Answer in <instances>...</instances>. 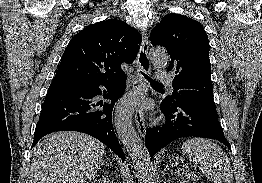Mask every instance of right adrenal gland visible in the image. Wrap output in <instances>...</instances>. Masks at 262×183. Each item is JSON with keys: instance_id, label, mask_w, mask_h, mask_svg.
I'll return each mask as SVG.
<instances>
[{"instance_id": "2a0ac1e0", "label": "right adrenal gland", "mask_w": 262, "mask_h": 183, "mask_svg": "<svg viewBox=\"0 0 262 183\" xmlns=\"http://www.w3.org/2000/svg\"><path fill=\"white\" fill-rule=\"evenodd\" d=\"M101 165H105L107 168H109V164L105 161H102Z\"/></svg>"}]
</instances>
